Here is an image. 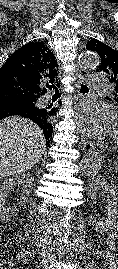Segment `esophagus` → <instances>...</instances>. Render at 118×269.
<instances>
[{
    "mask_svg": "<svg viewBox=\"0 0 118 269\" xmlns=\"http://www.w3.org/2000/svg\"><path fill=\"white\" fill-rule=\"evenodd\" d=\"M90 75V72L85 69H79L78 78L79 81L83 82L86 80V78ZM79 87V86H77ZM80 147L85 152H90L94 148V145L91 141L86 140L84 137H82Z\"/></svg>",
    "mask_w": 118,
    "mask_h": 269,
    "instance_id": "obj_1",
    "label": "esophagus"
}]
</instances>
